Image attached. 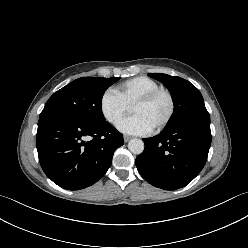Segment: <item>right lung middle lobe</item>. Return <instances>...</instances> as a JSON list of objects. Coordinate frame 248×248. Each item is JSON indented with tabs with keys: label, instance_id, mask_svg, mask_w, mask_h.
<instances>
[{
	"label": "right lung middle lobe",
	"instance_id": "obj_1",
	"mask_svg": "<svg viewBox=\"0 0 248 248\" xmlns=\"http://www.w3.org/2000/svg\"><path fill=\"white\" fill-rule=\"evenodd\" d=\"M119 79L120 77H82L76 79L49 98L40 117L62 113L87 121H105L101 109L102 97L107 88Z\"/></svg>",
	"mask_w": 248,
	"mask_h": 248
}]
</instances>
